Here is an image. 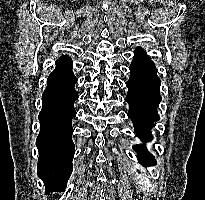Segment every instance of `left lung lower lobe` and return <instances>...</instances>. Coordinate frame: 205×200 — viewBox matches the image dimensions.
Returning <instances> with one entry per match:
<instances>
[{
	"label": "left lung lower lobe",
	"mask_w": 205,
	"mask_h": 200,
	"mask_svg": "<svg viewBox=\"0 0 205 200\" xmlns=\"http://www.w3.org/2000/svg\"><path fill=\"white\" fill-rule=\"evenodd\" d=\"M130 78L126 82L129 104L128 117L132 120L136 135L143 141H151V129L160 119L157 108L162 97L159 92L161 81L156 74L155 64L140 47L136 48L129 67ZM138 160L148 167L156 161L145 145H135Z\"/></svg>",
	"instance_id": "0a47b994"
}]
</instances>
